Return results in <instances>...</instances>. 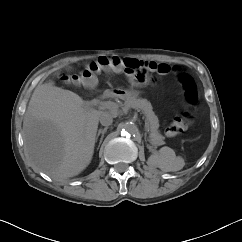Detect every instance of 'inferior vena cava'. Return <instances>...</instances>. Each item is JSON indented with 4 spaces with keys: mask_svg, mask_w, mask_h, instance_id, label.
I'll use <instances>...</instances> for the list:
<instances>
[{
    "mask_svg": "<svg viewBox=\"0 0 242 242\" xmlns=\"http://www.w3.org/2000/svg\"><path fill=\"white\" fill-rule=\"evenodd\" d=\"M99 120H100L101 125L107 127V126H110V125L112 124V122H113V117H112V115H111L110 113H108V112H104V113H102V114L100 115Z\"/></svg>",
    "mask_w": 242,
    "mask_h": 242,
    "instance_id": "obj_1",
    "label": "inferior vena cava"
}]
</instances>
